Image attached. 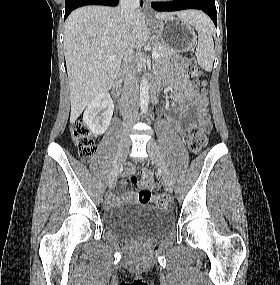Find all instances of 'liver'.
Here are the masks:
<instances>
[{"label":"liver","mask_w":280,"mask_h":285,"mask_svg":"<svg viewBox=\"0 0 280 285\" xmlns=\"http://www.w3.org/2000/svg\"><path fill=\"white\" fill-rule=\"evenodd\" d=\"M196 11L177 13L193 18ZM173 13H156L158 20ZM149 39L145 16L135 11L129 24L121 8L86 6L74 10L65 22L64 55L74 122L89 102L114 85L124 56ZM109 56H115L108 61Z\"/></svg>","instance_id":"1"}]
</instances>
